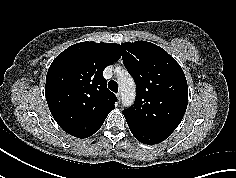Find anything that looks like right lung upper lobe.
I'll list each match as a JSON object with an SVG mask.
<instances>
[{
    "instance_id": "right-lung-upper-lobe-1",
    "label": "right lung upper lobe",
    "mask_w": 236,
    "mask_h": 178,
    "mask_svg": "<svg viewBox=\"0 0 236 178\" xmlns=\"http://www.w3.org/2000/svg\"><path fill=\"white\" fill-rule=\"evenodd\" d=\"M121 57L120 44L81 42L64 50L50 65L46 100L58 125L68 134L87 138L115 108L103 70Z\"/></svg>"
}]
</instances>
